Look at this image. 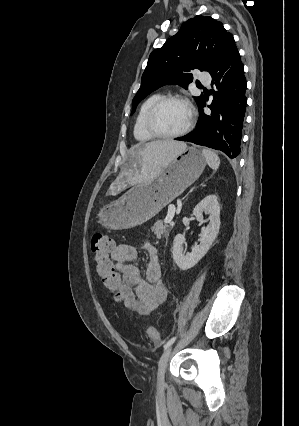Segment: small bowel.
<instances>
[{"mask_svg":"<svg viewBox=\"0 0 299 426\" xmlns=\"http://www.w3.org/2000/svg\"><path fill=\"white\" fill-rule=\"evenodd\" d=\"M145 248L149 254L145 277L133 263L138 255L134 246L120 244L114 247L111 260L122 280V303L130 310L146 316L165 303L168 290L163 281L156 247L146 243Z\"/></svg>","mask_w":299,"mask_h":426,"instance_id":"small-bowel-1","label":"small bowel"}]
</instances>
